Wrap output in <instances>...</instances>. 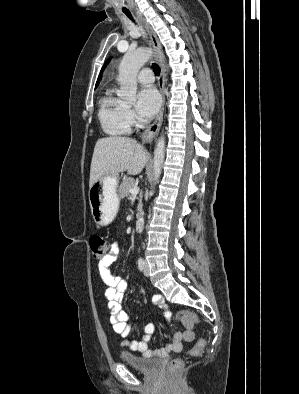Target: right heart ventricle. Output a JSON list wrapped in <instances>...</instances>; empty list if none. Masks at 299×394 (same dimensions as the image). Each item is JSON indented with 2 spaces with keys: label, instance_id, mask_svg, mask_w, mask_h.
<instances>
[{
  "label": "right heart ventricle",
  "instance_id": "1",
  "mask_svg": "<svg viewBox=\"0 0 299 394\" xmlns=\"http://www.w3.org/2000/svg\"><path fill=\"white\" fill-rule=\"evenodd\" d=\"M125 112V104L109 89L101 98L98 111L102 129L106 134L121 136L129 133L130 125Z\"/></svg>",
  "mask_w": 299,
  "mask_h": 394
}]
</instances>
